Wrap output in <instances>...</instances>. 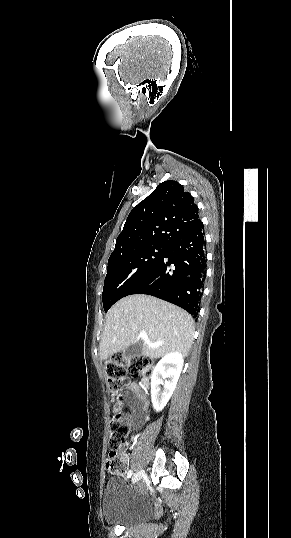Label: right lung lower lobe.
<instances>
[{"mask_svg":"<svg viewBox=\"0 0 291 538\" xmlns=\"http://www.w3.org/2000/svg\"><path fill=\"white\" fill-rule=\"evenodd\" d=\"M206 241L202 223L169 246L150 274L130 293L171 302L197 318L206 278Z\"/></svg>","mask_w":291,"mask_h":538,"instance_id":"obj_1","label":"right lung lower lobe"}]
</instances>
